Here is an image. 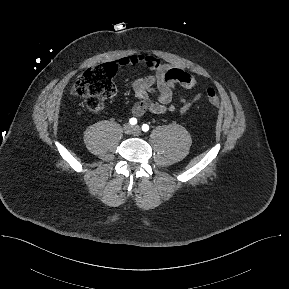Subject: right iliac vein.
<instances>
[{
  "label": "right iliac vein",
  "mask_w": 289,
  "mask_h": 289,
  "mask_svg": "<svg viewBox=\"0 0 289 289\" xmlns=\"http://www.w3.org/2000/svg\"><path fill=\"white\" fill-rule=\"evenodd\" d=\"M123 129H124V132L127 134H130L133 132V127L130 124H125Z\"/></svg>",
  "instance_id": "63e3f726"
}]
</instances>
